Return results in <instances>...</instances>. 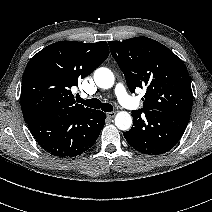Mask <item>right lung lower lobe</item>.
Instances as JSON below:
<instances>
[{"mask_svg":"<svg viewBox=\"0 0 212 212\" xmlns=\"http://www.w3.org/2000/svg\"><path fill=\"white\" fill-rule=\"evenodd\" d=\"M104 124L105 114L93 109L45 115L27 123L39 145L59 158H72L91 148Z\"/></svg>","mask_w":212,"mask_h":212,"instance_id":"1","label":"right lung lower lobe"}]
</instances>
